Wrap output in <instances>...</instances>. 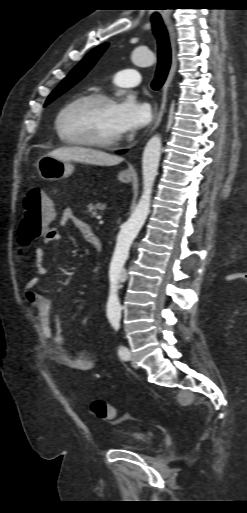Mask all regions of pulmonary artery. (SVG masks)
<instances>
[{"label": "pulmonary artery", "instance_id": "1", "mask_svg": "<svg viewBox=\"0 0 247 513\" xmlns=\"http://www.w3.org/2000/svg\"><path fill=\"white\" fill-rule=\"evenodd\" d=\"M114 81L122 87H135L140 84V74L135 69H124L117 72Z\"/></svg>", "mask_w": 247, "mask_h": 513}]
</instances>
